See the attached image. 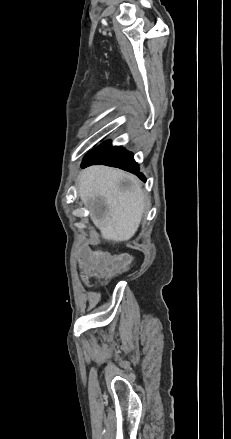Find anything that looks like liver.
Instances as JSON below:
<instances>
[{
    "label": "liver",
    "instance_id": "obj_1",
    "mask_svg": "<svg viewBox=\"0 0 231 439\" xmlns=\"http://www.w3.org/2000/svg\"><path fill=\"white\" fill-rule=\"evenodd\" d=\"M130 182L128 189L121 181ZM78 193L83 200L105 202L101 216L93 213L94 222L102 237L116 242L127 241L136 233L144 212L145 196L138 179L119 169L102 165L82 170L78 177Z\"/></svg>",
    "mask_w": 231,
    "mask_h": 439
}]
</instances>
